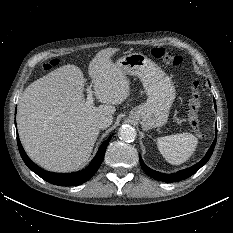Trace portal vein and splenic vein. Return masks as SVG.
<instances>
[{
  "label": "portal vein and splenic vein",
  "mask_w": 233,
  "mask_h": 233,
  "mask_svg": "<svg viewBox=\"0 0 233 233\" xmlns=\"http://www.w3.org/2000/svg\"><path fill=\"white\" fill-rule=\"evenodd\" d=\"M87 93L86 105L90 106L93 104V93L90 87L87 88Z\"/></svg>",
  "instance_id": "18ae733b"
}]
</instances>
